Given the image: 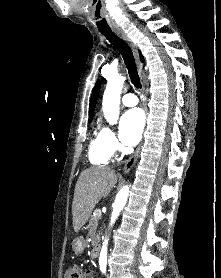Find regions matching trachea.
Returning <instances> with one entry per match:
<instances>
[{
  "mask_svg": "<svg viewBox=\"0 0 221 278\" xmlns=\"http://www.w3.org/2000/svg\"><path fill=\"white\" fill-rule=\"evenodd\" d=\"M106 39L120 52L122 55L125 65L128 69L129 77L132 84L137 88L141 89L142 84L140 77L137 72V67L134 61V56L129 45L119 38L112 30H101L100 31Z\"/></svg>",
  "mask_w": 221,
  "mask_h": 278,
  "instance_id": "trachea-1",
  "label": "trachea"
}]
</instances>
